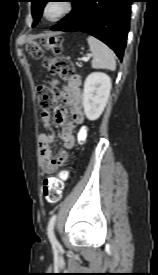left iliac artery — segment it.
Listing matches in <instances>:
<instances>
[{
	"label": "left iliac artery",
	"mask_w": 158,
	"mask_h": 275,
	"mask_svg": "<svg viewBox=\"0 0 158 275\" xmlns=\"http://www.w3.org/2000/svg\"><path fill=\"white\" fill-rule=\"evenodd\" d=\"M56 217L57 216L55 214L52 215V217L50 218V220L48 222V227H47V235H48V238L53 246H58V241L54 234V225H55Z\"/></svg>",
	"instance_id": "left-iliac-artery-1"
}]
</instances>
